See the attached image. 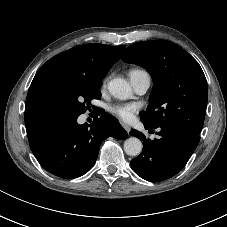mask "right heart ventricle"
Wrapping results in <instances>:
<instances>
[{"label": "right heart ventricle", "instance_id": "right-heart-ventricle-1", "mask_svg": "<svg viewBox=\"0 0 227 227\" xmlns=\"http://www.w3.org/2000/svg\"><path fill=\"white\" fill-rule=\"evenodd\" d=\"M142 72H145V71L141 70V69H132L130 71V75H133V74H136V73H142Z\"/></svg>", "mask_w": 227, "mask_h": 227}]
</instances>
